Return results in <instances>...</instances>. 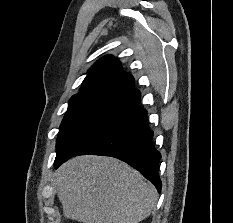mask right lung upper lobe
<instances>
[{
  "mask_svg": "<svg viewBox=\"0 0 233 223\" xmlns=\"http://www.w3.org/2000/svg\"><path fill=\"white\" fill-rule=\"evenodd\" d=\"M134 88L133 77L122 70L120 62L105 56L88 71L80 92L75 96L93 93H120Z\"/></svg>",
  "mask_w": 233,
  "mask_h": 223,
  "instance_id": "1",
  "label": "right lung upper lobe"
}]
</instances>
